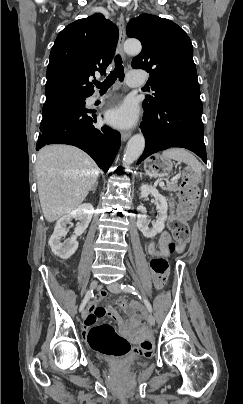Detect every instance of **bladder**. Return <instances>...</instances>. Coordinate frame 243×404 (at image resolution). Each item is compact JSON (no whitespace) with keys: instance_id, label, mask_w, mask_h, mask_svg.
<instances>
[{"instance_id":"bladder-1","label":"bladder","mask_w":243,"mask_h":404,"mask_svg":"<svg viewBox=\"0 0 243 404\" xmlns=\"http://www.w3.org/2000/svg\"><path fill=\"white\" fill-rule=\"evenodd\" d=\"M145 363V360L144 359H140V360H138L135 364H137V365H142V364H144Z\"/></svg>"}]
</instances>
